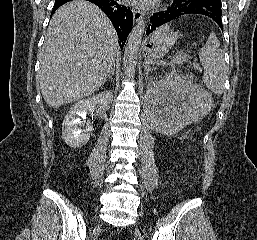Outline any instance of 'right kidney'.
<instances>
[{"mask_svg": "<svg viewBox=\"0 0 257 240\" xmlns=\"http://www.w3.org/2000/svg\"><path fill=\"white\" fill-rule=\"evenodd\" d=\"M113 101L111 91H104L83 99L73 105L63 121L62 136L67 145L72 148H79L85 145L90 139L93 127L86 122L87 112H93L95 107L102 112L107 111ZM86 126L85 129L81 127Z\"/></svg>", "mask_w": 257, "mask_h": 240, "instance_id": "obj_1", "label": "right kidney"}]
</instances>
